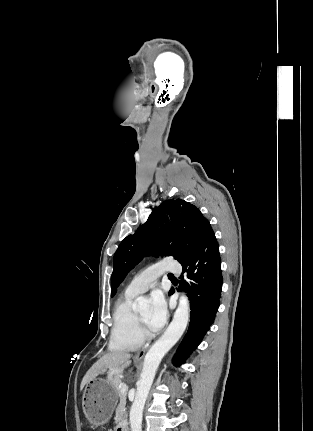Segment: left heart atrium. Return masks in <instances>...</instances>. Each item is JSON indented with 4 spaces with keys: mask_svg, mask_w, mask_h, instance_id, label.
<instances>
[{
    "mask_svg": "<svg viewBox=\"0 0 313 431\" xmlns=\"http://www.w3.org/2000/svg\"><path fill=\"white\" fill-rule=\"evenodd\" d=\"M166 300L161 292H154L151 295V307L148 318V327L152 331L162 328L167 319Z\"/></svg>",
    "mask_w": 313,
    "mask_h": 431,
    "instance_id": "left-heart-atrium-1",
    "label": "left heart atrium"
}]
</instances>
